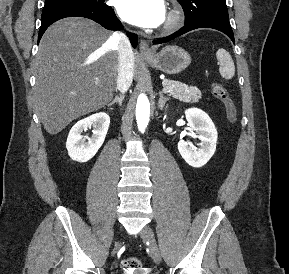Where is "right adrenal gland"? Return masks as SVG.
I'll use <instances>...</instances> for the list:
<instances>
[{
  "instance_id": "2a0ac1e0",
  "label": "right adrenal gland",
  "mask_w": 289,
  "mask_h": 274,
  "mask_svg": "<svg viewBox=\"0 0 289 274\" xmlns=\"http://www.w3.org/2000/svg\"><path fill=\"white\" fill-rule=\"evenodd\" d=\"M124 100V95L116 96L109 104L108 107H111L113 104L117 103L119 106H122Z\"/></svg>"
}]
</instances>
